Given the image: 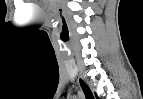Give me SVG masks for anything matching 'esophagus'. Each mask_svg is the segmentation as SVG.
Returning a JSON list of instances; mask_svg holds the SVG:
<instances>
[{
    "mask_svg": "<svg viewBox=\"0 0 143 99\" xmlns=\"http://www.w3.org/2000/svg\"><path fill=\"white\" fill-rule=\"evenodd\" d=\"M78 84H79V87H80L85 99H94L95 98L91 87L89 86V84L87 83V81L81 74L78 75Z\"/></svg>",
    "mask_w": 143,
    "mask_h": 99,
    "instance_id": "34e87169",
    "label": "esophagus"
}]
</instances>
